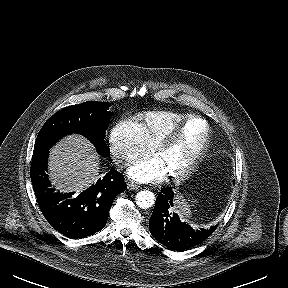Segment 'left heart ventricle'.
<instances>
[{
	"label": "left heart ventricle",
	"instance_id": "1",
	"mask_svg": "<svg viewBox=\"0 0 288 288\" xmlns=\"http://www.w3.org/2000/svg\"><path fill=\"white\" fill-rule=\"evenodd\" d=\"M206 134V125L200 120L188 122L176 139L160 154L168 173L183 169L201 147Z\"/></svg>",
	"mask_w": 288,
	"mask_h": 288
}]
</instances>
